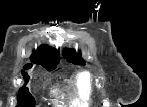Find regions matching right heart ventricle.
<instances>
[{
  "mask_svg": "<svg viewBox=\"0 0 147 107\" xmlns=\"http://www.w3.org/2000/svg\"><path fill=\"white\" fill-rule=\"evenodd\" d=\"M70 102L74 106H89L94 99V82L88 72H80L71 83Z\"/></svg>",
  "mask_w": 147,
  "mask_h": 107,
  "instance_id": "right-heart-ventricle-1",
  "label": "right heart ventricle"
}]
</instances>
